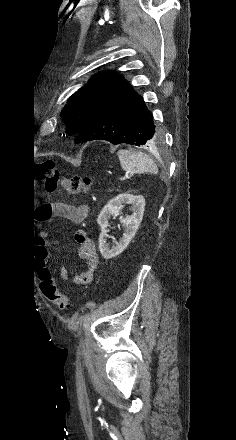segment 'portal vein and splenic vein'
<instances>
[{
    "label": "portal vein and splenic vein",
    "mask_w": 236,
    "mask_h": 440,
    "mask_svg": "<svg viewBox=\"0 0 236 440\" xmlns=\"http://www.w3.org/2000/svg\"><path fill=\"white\" fill-rule=\"evenodd\" d=\"M126 177H127V176L121 177L120 180H124V179H126Z\"/></svg>",
    "instance_id": "1"
}]
</instances>
